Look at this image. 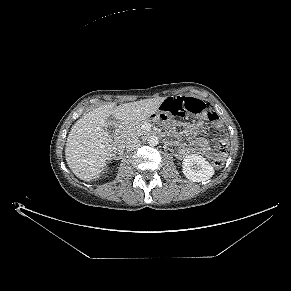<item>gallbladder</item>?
Wrapping results in <instances>:
<instances>
[{"instance_id": "obj_1", "label": "gallbladder", "mask_w": 291, "mask_h": 291, "mask_svg": "<svg viewBox=\"0 0 291 291\" xmlns=\"http://www.w3.org/2000/svg\"><path fill=\"white\" fill-rule=\"evenodd\" d=\"M117 126H118V122L116 120H114L113 118H109L107 120L106 130L108 131L110 136L114 135Z\"/></svg>"}]
</instances>
